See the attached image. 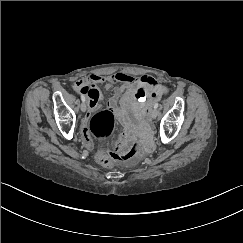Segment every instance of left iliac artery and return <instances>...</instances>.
<instances>
[{
	"mask_svg": "<svg viewBox=\"0 0 243 243\" xmlns=\"http://www.w3.org/2000/svg\"><path fill=\"white\" fill-rule=\"evenodd\" d=\"M158 106H159V104H158V103H156V104L154 105V109H157V108H158Z\"/></svg>",
	"mask_w": 243,
	"mask_h": 243,
	"instance_id": "44dca946",
	"label": "left iliac artery"
}]
</instances>
